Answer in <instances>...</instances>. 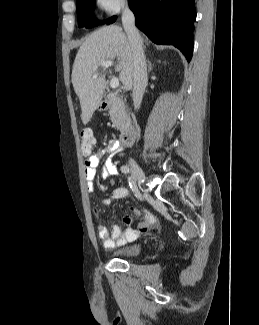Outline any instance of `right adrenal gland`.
Segmentation results:
<instances>
[{"instance_id":"right-adrenal-gland-1","label":"right adrenal gland","mask_w":259,"mask_h":325,"mask_svg":"<svg viewBox=\"0 0 259 325\" xmlns=\"http://www.w3.org/2000/svg\"><path fill=\"white\" fill-rule=\"evenodd\" d=\"M147 63H148V71L151 72L152 71V64H151V62L149 60L147 61Z\"/></svg>"}]
</instances>
